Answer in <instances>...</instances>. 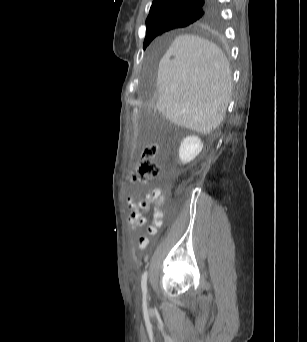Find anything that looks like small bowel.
Returning a JSON list of instances; mask_svg holds the SVG:
<instances>
[{"instance_id": "1", "label": "small bowel", "mask_w": 307, "mask_h": 342, "mask_svg": "<svg viewBox=\"0 0 307 342\" xmlns=\"http://www.w3.org/2000/svg\"><path fill=\"white\" fill-rule=\"evenodd\" d=\"M151 203H154L153 209V221L148 227L147 233L143 234L139 238V248L144 249L148 244V235H155L157 229L162 224L163 211L162 207L164 205V196L159 188H154L148 191L144 198L136 201L133 196L128 198V205L130 208V213L128 215V223L131 229L136 227H143L147 224L146 219L142 215L143 212H148L150 210Z\"/></svg>"}]
</instances>
